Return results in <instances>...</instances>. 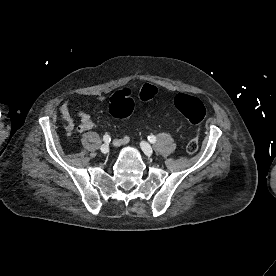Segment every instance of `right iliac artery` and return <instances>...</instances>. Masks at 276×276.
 I'll return each mask as SVG.
<instances>
[{
    "label": "right iliac artery",
    "mask_w": 276,
    "mask_h": 276,
    "mask_svg": "<svg viewBox=\"0 0 276 276\" xmlns=\"http://www.w3.org/2000/svg\"><path fill=\"white\" fill-rule=\"evenodd\" d=\"M103 141L106 142V143H109L111 141V138L108 134L104 135L103 136Z\"/></svg>",
    "instance_id": "obj_1"
}]
</instances>
